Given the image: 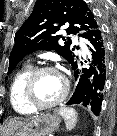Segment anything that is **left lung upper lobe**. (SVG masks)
I'll use <instances>...</instances> for the list:
<instances>
[{
	"label": "left lung upper lobe",
	"instance_id": "obj_1",
	"mask_svg": "<svg viewBox=\"0 0 117 136\" xmlns=\"http://www.w3.org/2000/svg\"><path fill=\"white\" fill-rule=\"evenodd\" d=\"M61 26H66V39L56 34ZM99 28L98 20L83 0H37L31 15L15 34L8 73L36 50H54L72 64L76 56L71 36L81 31L79 36L86 38ZM60 38L65 41L63 44L58 42Z\"/></svg>",
	"mask_w": 117,
	"mask_h": 136
}]
</instances>
